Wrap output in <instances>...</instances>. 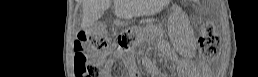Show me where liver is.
<instances>
[{
    "label": "liver",
    "instance_id": "6515ba94",
    "mask_svg": "<svg viewBox=\"0 0 258 77\" xmlns=\"http://www.w3.org/2000/svg\"><path fill=\"white\" fill-rule=\"evenodd\" d=\"M111 0H84L82 26L87 27L96 22L110 7ZM114 10L117 17L130 18L132 10L129 2L125 0H113Z\"/></svg>",
    "mask_w": 258,
    "mask_h": 77
}]
</instances>
